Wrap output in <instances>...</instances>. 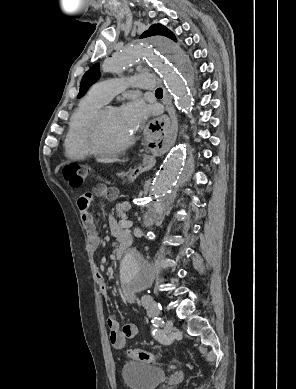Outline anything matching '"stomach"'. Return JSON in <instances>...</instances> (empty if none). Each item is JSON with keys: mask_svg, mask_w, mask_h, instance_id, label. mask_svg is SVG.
Listing matches in <instances>:
<instances>
[{"mask_svg": "<svg viewBox=\"0 0 296 389\" xmlns=\"http://www.w3.org/2000/svg\"><path fill=\"white\" fill-rule=\"evenodd\" d=\"M140 172L136 168H131L127 171L128 183L130 185H137L139 183Z\"/></svg>", "mask_w": 296, "mask_h": 389, "instance_id": "0dacf381", "label": "stomach"}]
</instances>
